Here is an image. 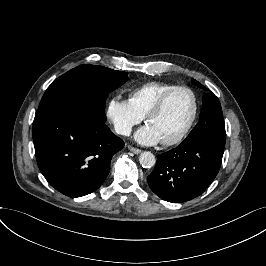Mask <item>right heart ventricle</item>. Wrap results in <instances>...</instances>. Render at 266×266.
Returning <instances> with one entry per match:
<instances>
[{
	"label": "right heart ventricle",
	"instance_id": "obj_1",
	"mask_svg": "<svg viewBox=\"0 0 266 266\" xmlns=\"http://www.w3.org/2000/svg\"><path fill=\"white\" fill-rule=\"evenodd\" d=\"M173 86L175 84L170 82H147L134 88L130 93L129 100L134 108L144 117L160 95Z\"/></svg>",
	"mask_w": 266,
	"mask_h": 266
}]
</instances>
